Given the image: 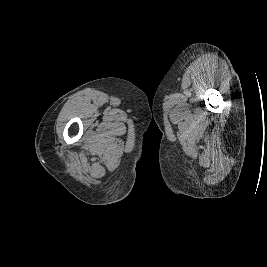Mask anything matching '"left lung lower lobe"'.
Here are the masks:
<instances>
[{
    "instance_id": "0a47b994",
    "label": "left lung lower lobe",
    "mask_w": 267,
    "mask_h": 267,
    "mask_svg": "<svg viewBox=\"0 0 267 267\" xmlns=\"http://www.w3.org/2000/svg\"><path fill=\"white\" fill-rule=\"evenodd\" d=\"M157 150H158V147H153L150 154H149V158L150 159H157Z\"/></svg>"
}]
</instances>
